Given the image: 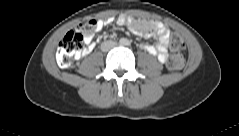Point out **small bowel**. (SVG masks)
Wrapping results in <instances>:
<instances>
[{
	"mask_svg": "<svg viewBox=\"0 0 239 136\" xmlns=\"http://www.w3.org/2000/svg\"><path fill=\"white\" fill-rule=\"evenodd\" d=\"M110 22L111 20L98 21V30H101ZM117 24L120 26H127L129 31L135 35L146 38H158L159 44L157 46L144 45L143 48L149 54L156 56L161 63H165L167 61L170 30L164 24L158 22L142 21L125 15H121L118 18ZM84 43L86 48L82 52L83 56L90 53L95 46L91 36L85 37Z\"/></svg>",
	"mask_w": 239,
	"mask_h": 136,
	"instance_id": "1",
	"label": "small bowel"
}]
</instances>
